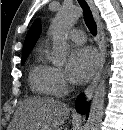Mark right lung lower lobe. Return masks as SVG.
I'll return each mask as SVG.
<instances>
[{"mask_svg":"<svg viewBox=\"0 0 123 130\" xmlns=\"http://www.w3.org/2000/svg\"><path fill=\"white\" fill-rule=\"evenodd\" d=\"M75 107L79 113L86 114V116L88 117L89 107H88V103L85 101L83 94L79 95L75 103Z\"/></svg>","mask_w":123,"mask_h":130,"instance_id":"right-lung-lower-lobe-1","label":"right lung lower lobe"}]
</instances>
